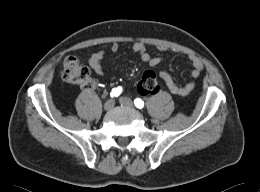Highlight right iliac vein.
I'll return each instance as SVG.
<instances>
[{
	"label": "right iliac vein",
	"mask_w": 260,
	"mask_h": 192,
	"mask_svg": "<svg viewBox=\"0 0 260 192\" xmlns=\"http://www.w3.org/2000/svg\"><path fill=\"white\" fill-rule=\"evenodd\" d=\"M115 102L114 100L110 99L104 104V109L106 111H111L114 108Z\"/></svg>",
	"instance_id": "63e3f726"
}]
</instances>
